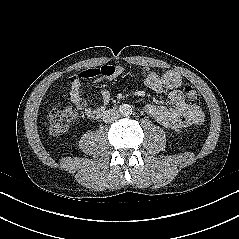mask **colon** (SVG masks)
Segmentation results:
<instances>
[{"mask_svg":"<svg viewBox=\"0 0 239 239\" xmlns=\"http://www.w3.org/2000/svg\"><path fill=\"white\" fill-rule=\"evenodd\" d=\"M183 92L190 102H197L200 98L198 89L190 84L183 85ZM75 111L72 108L54 109L49 113V130L53 135H60L66 132L75 119Z\"/></svg>","mask_w":239,"mask_h":239,"instance_id":"obj_1","label":"colon"}]
</instances>
